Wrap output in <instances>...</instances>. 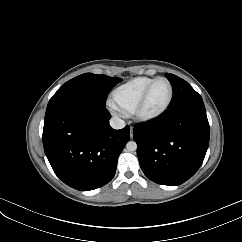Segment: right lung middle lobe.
<instances>
[{"label":"right lung middle lobe","mask_w":242,"mask_h":242,"mask_svg":"<svg viewBox=\"0 0 242 242\" xmlns=\"http://www.w3.org/2000/svg\"><path fill=\"white\" fill-rule=\"evenodd\" d=\"M122 79L105 75L85 73L79 75L65 84L50 99L47 110L71 101L89 100L96 104L105 105L107 94L111 88Z\"/></svg>","instance_id":"dd1d6c3e"}]
</instances>
